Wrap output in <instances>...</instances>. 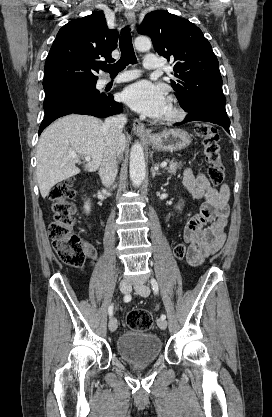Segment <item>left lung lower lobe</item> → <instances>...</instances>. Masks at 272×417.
Listing matches in <instances>:
<instances>
[{"label": "left lung lower lobe", "instance_id": "0a47b994", "mask_svg": "<svg viewBox=\"0 0 272 417\" xmlns=\"http://www.w3.org/2000/svg\"><path fill=\"white\" fill-rule=\"evenodd\" d=\"M186 111L188 112L186 118L182 122L177 123L176 125L190 121H207L222 126L228 133H230V120L228 116L225 114L214 113L207 109L200 110L197 108L189 109Z\"/></svg>", "mask_w": 272, "mask_h": 417}]
</instances>
